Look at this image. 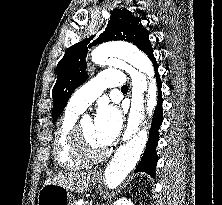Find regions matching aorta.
<instances>
[{
    "mask_svg": "<svg viewBox=\"0 0 222 205\" xmlns=\"http://www.w3.org/2000/svg\"><path fill=\"white\" fill-rule=\"evenodd\" d=\"M98 53L104 57L106 65L124 68L133 78L130 121L122 143L105 168L102 181L104 190L113 192L121 186L145 151L158 90L150 59L134 45L107 43Z\"/></svg>",
    "mask_w": 222,
    "mask_h": 205,
    "instance_id": "aorta-1",
    "label": "aorta"
}]
</instances>
